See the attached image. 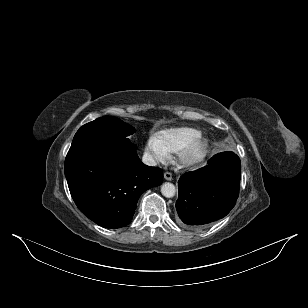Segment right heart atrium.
<instances>
[{
  "instance_id": "right-heart-atrium-1",
  "label": "right heart atrium",
  "mask_w": 308,
  "mask_h": 308,
  "mask_svg": "<svg viewBox=\"0 0 308 308\" xmlns=\"http://www.w3.org/2000/svg\"><path fill=\"white\" fill-rule=\"evenodd\" d=\"M145 150L154 162H164L169 157V153L161 146L156 137H150L147 140Z\"/></svg>"
}]
</instances>
